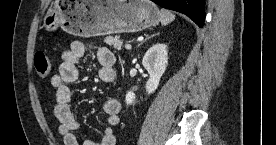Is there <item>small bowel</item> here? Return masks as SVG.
Returning a JSON list of instances; mask_svg holds the SVG:
<instances>
[{
    "instance_id": "small-bowel-1",
    "label": "small bowel",
    "mask_w": 276,
    "mask_h": 145,
    "mask_svg": "<svg viewBox=\"0 0 276 145\" xmlns=\"http://www.w3.org/2000/svg\"><path fill=\"white\" fill-rule=\"evenodd\" d=\"M87 52V45L79 40L73 41L70 48L62 54V61L58 73L51 78V84L56 89L54 101V115L58 122L59 132L62 135L64 145H79L75 131L80 128V123L74 117L70 102L72 90L70 84L79 77V64ZM98 62L101 66L100 79L105 83H112L117 78V70L114 65L115 55L105 47L96 50ZM104 113L107 116V124L102 129L100 142L96 144L90 139H85L82 145H115L116 138L114 127L120 123V103L117 99L109 97L103 104Z\"/></svg>"
}]
</instances>
